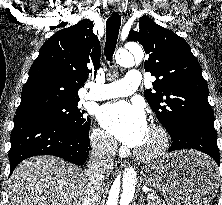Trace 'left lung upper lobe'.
I'll return each instance as SVG.
<instances>
[{
  "instance_id": "obj_1",
  "label": "left lung upper lobe",
  "mask_w": 222,
  "mask_h": 205,
  "mask_svg": "<svg viewBox=\"0 0 222 205\" xmlns=\"http://www.w3.org/2000/svg\"><path fill=\"white\" fill-rule=\"evenodd\" d=\"M128 41L139 42L148 55L145 71L156 80L144 96L170 137L192 121L214 123L202 69L183 38L143 16Z\"/></svg>"
}]
</instances>
